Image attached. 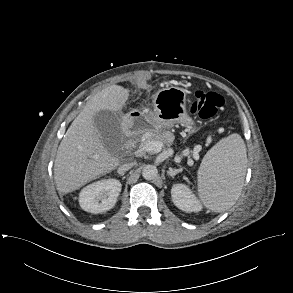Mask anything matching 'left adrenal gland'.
<instances>
[{"label": "left adrenal gland", "instance_id": "a2214340", "mask_svg": "<svg viewBox=\"0 0 293 293\" xmlns=\"http://www.w3.org/2000/svg\"><path fill=\"white\" fill-rule=\"evenodd\" d=\"M181 171H182V168H180V169H172V168H169V170L167 171V174L169 176H171L172 178H174Z\"/></svg>", "mask_w": 293, "mask_h": 293}]
</instances>
